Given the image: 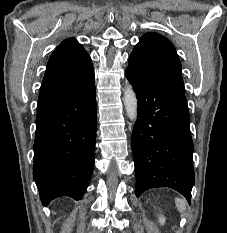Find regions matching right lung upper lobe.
Returning a JSON list of instances; mask_svg holds the SVG:
<instances>
[{"label":"right lung upper lobe","mask_w":227,"mask_h":233,"mask_svg":"<svg viewBox=\"0 0 227 233\" xmlns=\"http://www.w3.org/2000/svg\"><path fill=\"white\" fill-rule=\"evenodd\" d=\"M93 81L92 61L83 46L73 38L64 40L48 61L37 112L68 98Z\"/></svg>","instance_id":"1"}]
</instances>
